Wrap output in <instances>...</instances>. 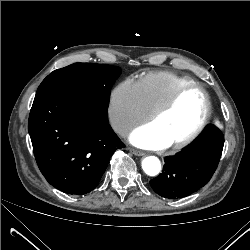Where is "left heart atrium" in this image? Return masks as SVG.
Returning <instances> with one entry per match:
<instances>
[{
    "mask_svg": "<svg viewBox=\"0 0 250 250\" xmlns=\"http://www.w3.org/2000/svg\"><path fill=\"white\" fill-rule=\"evenodd\" d=\"M130 141L145 149H163L171 143L155 128L153 124H147L135 129L129 137Z\"/></svg>",
    "mask_w": 250,
    "mask_h": 250,
    "instance_id": "1",
    "label": "left heart atrium"
}]
</instances>
